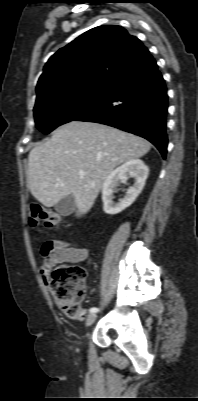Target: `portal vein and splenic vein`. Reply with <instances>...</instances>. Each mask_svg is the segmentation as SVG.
I'll return each instance as SVG.
<instances>
[{"instance_id": "1", "label": "portal vein and splenic vein", "mask_w": 198, "mask_h": 401, "mask_svg": "<svg viewBox=\"0 0 198 401\" xmlns=\"http://www.w3.org/2000/svg\"><path fill=\"white\" fill-rule=\"evenodd\" d=\"M78 175H79L80 177H84L85 172H84V171H79V172H78Z\"/></svg>"}]
</instances>
